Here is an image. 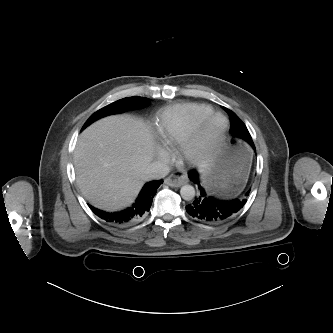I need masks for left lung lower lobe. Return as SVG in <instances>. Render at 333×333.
Wrapping results in <instances>:
<instances>
[{"label":"left lung lower lobe","mask_w":333,"mask_h":333,"mask_svg":"<svg viewBox=\"0 0 333 333\" xmlns=\"http://www.w3.org/2000/svg\"><path fill=\"white\" fill-rule=\"evenodd\" d=\"M189 178L198 186L200 195L192 204L186 206L187 213L202 222H223L237 213L246 203L247 192L244 196L232 200H221L210 196L199 179L197 171H191Z\"/></svg>","instance_id":"1"}]
</instances>
